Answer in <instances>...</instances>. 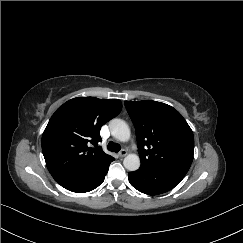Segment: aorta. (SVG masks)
I'll use <instances>...</instances> for the list:
<instances>
[{
	"instance_id": "1",
	"label": "aorta",
	"mask_w": 243,
	"mask_h": 243,
	"mask_svg": "<svg viewBox=\"0 0 243 243\" xmlns=\"http://www.w3.org/2000/svg\"><path fill=\"white\" fill-rule=\"evenodd\" d=\"M110 131L113 137L121 142L130 139L128 124L122 119H112L109 122ZM124 167L129 171H136L140 167V158L136 154H128L123 160Z\"/></svg>"
}]
</instances>
